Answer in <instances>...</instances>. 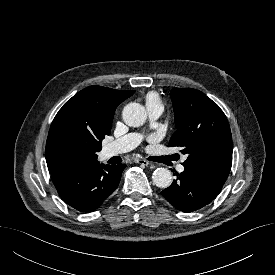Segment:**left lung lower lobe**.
Listing matches in <instances>:
<instances>
[{"label": "left lung lower lobe", "mask_w": 275, "mask_h": 275, "mask_svg": "<svg viewBox=\"0 0 275 275\" xmlns=\"http://www.w3.org/2000/svg\"><path fill=\"white\" fill-rule=\"evenodd\" d=\"M184 168L161 194L175 208L188 213L209 204L222 189L228 175L205 168Z\"/></svg>", "instance_id": "1"}]
</instances>
